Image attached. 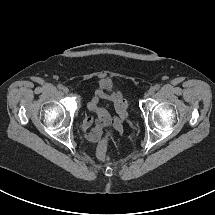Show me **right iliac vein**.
<instances>
[{
	"label": "right iliac vein",
	"instance_id": "obj_1",
	"mask_svg": "<svg viewBox=\"0 0 215 215\" xmlns=\"http://www.w3.org/2000/svg\"><path fill=\"white\" fill-rule=\"evenodd\" d=\"M63 92H64V93H68V92H69L68 87H63Z\"/></svg>",
	"mask_w": 215,
	"mask_h": 215
}]
</instances>
